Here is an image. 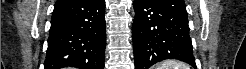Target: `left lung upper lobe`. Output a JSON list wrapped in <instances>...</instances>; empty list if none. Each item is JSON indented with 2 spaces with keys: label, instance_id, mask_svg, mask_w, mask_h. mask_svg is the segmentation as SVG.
Returning <instances> with one entry per match:
<instances>
[{
  "label": "left lung upper lobe",
  "instance_id": "1",
  "mask_svg": "<svg viewBox=\"0 0 246 69\" xmlns=\"http://www.w3.org/2000/svg\"><path fill=\"white\" fill-rule=\"evenodd\" d=\"M162 4L179 14L180 16L187 18L185 3L183 0H159Z\"/></svg>",
  "mask_w": 246,
  "mask_h": 69
}]
</instances>
